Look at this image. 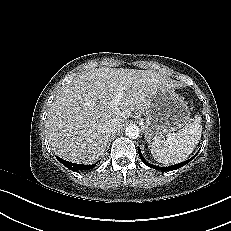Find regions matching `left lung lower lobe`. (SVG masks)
<instances>
[{"label":"left lung lower lobe","mask_w":231,"mask_h":231,"mask_svg":"<svg viewBox=\"0 0 231 231\" xmlns=\"http://www.w3.org/2000/svg\"><path fill=\"white\" fill-rule=\"evenodd\" d=\"M138 153H139V156H140L141 160L143 161V163H145L147 166H149V167H151V168H154V169L160 170V171L176 170V169H178V168H180V167H182V166L188 164V163H189L192 159H194V158L197 156V154H198V153H196V155L193 156L191 159L186 160V161H184V162H181V163H179V164H175V165L168 166V167H158V166H155V165H152V164L148 163V162L144 159V157L142 156V153H141L140 150L138 151Z\"/></svg>","instance_id":"1"}]
</instances>
